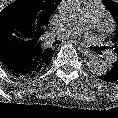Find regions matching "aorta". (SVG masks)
I'll return each instance as SVG.
<instances>
[{"instance_id": "obj_1", "label": "aorta", "mask_w": 118, "mask_h": 118, "mask_svg": "<svg viewBox=\"0 0 118 118\" xmlns=\"http://www.w3.org/2000/svg\"><path fill=\"white\" fill-rule=\"evenodd\" d=\"M59 11L62 18L72 21L80 17L82 10L78 0H64ZM87 65L90 72L96 75H101L107 70L106 63L97 57L92 58Z\"/></svg>"}]
</instances>
